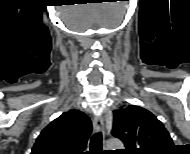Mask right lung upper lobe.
<instances>
[{
	"label": "right lung upper lobe",
	"mask_w": 190,
	"mask_h": 154,
	"mask_svg": "<svg viewBox=\"0 0 190 154\" xmlns=\"http://www.w3.org/2000/svg\"><path fill=\"white\" fill-rule=\"evenodd\" d=\"M91 131L92 123L85 113L69 110L42 130L31 154H82Z\"/></svg>",
	"instance_id": "right-lung-upper-lobe-1"
}]
</instances>
